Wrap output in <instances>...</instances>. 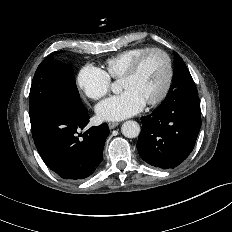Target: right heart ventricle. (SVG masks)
Returning <instances> with one entry per match:
<instances>
[{
    "mask_svg": "<svg viewBox=\"0 0 232 232\" xmlns=\"http://www.w3.org/2000/svg\"><path fill=\"white\" fill-rule=\"evenodd\" d=\"M149 47H135L124 50L104 62V72L110 79H120L130 63Z\"/></svg>",
    "mask_w": 232,
    "mask_h": 232,
    "instance_id": "right-heart-ventricle-1",
    "label": "right heart ventricle"
}]
</instances>
